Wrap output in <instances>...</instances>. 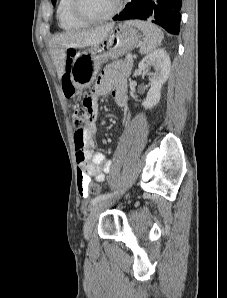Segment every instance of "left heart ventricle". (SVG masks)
I'll use <instances>...</instances> for the list:
<instances>
[{
	"mask_svg": "<svg viewBox=\"0 0 227 298\" xmlns=\"http://www.w3.org/2000/svg\"><path fill=\"white\" fill-rule=\"evenodd\" d=\"M82 11L85 15L99 18L110 13L117 0H81Z\"/></svg>",
	"mask_w": 227,
	"mask_h": 298,
	"instance_id": "left-heart-ventricle-1",
	"label": "left heart ventricle"
}]
</instances>
